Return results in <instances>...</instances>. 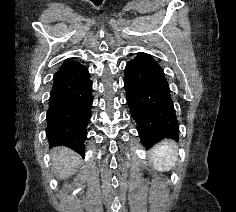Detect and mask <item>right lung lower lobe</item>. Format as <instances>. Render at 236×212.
Instances as JSON below:
<instances>
[{
	"label": "right lung lower lobe",
	"instance_id": "right-lung-lower-lobe-1",
	"mask_svg": "<svg viewBox=\"0 0 236 212\" xmlns=\"http://www.w3.org/2000/svg\"><path fill=\"white\" fill-rule=\"evenodd\" d=\"M92 83L88 69L68 58L53 77L46 133L52 146L64 145L84 154L91 115Z\"/></svg>",
	"mask_w": 236,
	"mask_h": 212
}]
</instances>
